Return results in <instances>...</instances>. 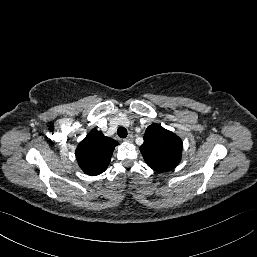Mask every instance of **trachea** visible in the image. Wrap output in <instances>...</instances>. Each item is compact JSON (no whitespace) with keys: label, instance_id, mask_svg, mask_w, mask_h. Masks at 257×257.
Here are the masks:
<instances>
[{"label":"trachea","instance_id":"obj_1","mask_svg":"<svg viewBox=\"0 0 257 257\" xmlns=\"http://www.w3.org/2000/svg\"><path fill=\"white\" fill-rule=\"evenodd\" d=\"M117 134L120 138H126L128 135L127 130L124 127H119L117 129Z\"/></svg>","mask_w":257,"mask_h":257}]
</instances>
